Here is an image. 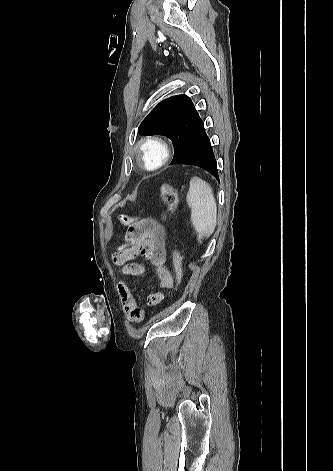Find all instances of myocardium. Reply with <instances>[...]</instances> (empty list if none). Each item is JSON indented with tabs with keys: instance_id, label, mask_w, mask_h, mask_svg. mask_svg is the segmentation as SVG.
Listing matches in <instances>:
<instances>
[{
	"instance_id": "f54148a6",
	"label": "myocardium",
	"mask_w": 333,
	"mask_h": 471,
	"mask_svg": "<svg viewBox=\"0 0 333 471\" xmlns=\"http://www.w3.org/2000/svg\"><path fill=\"white\" fill-rule=\"evenodd\" d=\"M155 150L158 157L153 162L149 161V152ZM139 162L144 169L155 171L161 168L169 158V147L167 143L159 137H147L138 144Z\"/></svg>"
}]
</instances>
